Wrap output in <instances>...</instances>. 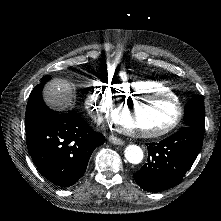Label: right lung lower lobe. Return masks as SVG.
Here are the masks:
<instances>
[{
	"label": "right lung lower lobe",
	"mask_w": 221,
	"mask_h": 221,
	"mask_svg": "<svg viewBox=\"0 0 221 221\" xmlns=\"http://www.w3.org/2000/svg\"><path fill=\"white\" fill-rule=\"evenodd\" d=\"M25 127L36 167L60 187L71 186L83 176L92 152L105 141L76 112L38 115L28 119Z\"/></svg>",
	"instance_id": "right-lung-lower-lobe-1"
}]
</instances>
